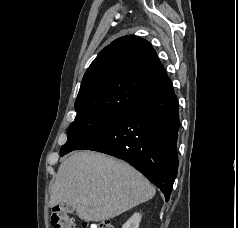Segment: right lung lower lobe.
<instances>
[{
	"instance_id": "right-lung-lower-lobe-1",
	"label": "right lung lower lobe",
	"mask_w": 238,
	"mask_h": 228,
	"mask_svg": "<svg viewBox=\"0 0 238 228\" xmlns=\"http://www.w3.org/2000/svg\"><path fill=\"white\" fill-rule=\"evenodd\" d=\"M179 104L173 88L142 101L75 150L123 159L143 173L169 200L178 170Z\"/></svg>"
}]
</instances>
